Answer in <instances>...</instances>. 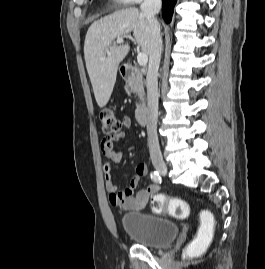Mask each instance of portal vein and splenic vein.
<instances>
[{"label": "portal vein and splenic vein", "mask_w": 265, "mask_h": 269, "mask_svg": "<svg viewBox=\"0 0 265 269\" xmlns=\"http://www.w3.org/2000/svg\"><path fill=\"white\" fill-rule=\"evenodd\" d=\"M116 42L118 44L124 43L123 38H117ZM137 61L140 66H145L148 62V55L146 53H138L137 55Z\"/></svg>", "instance_id": "18ae733b"}]
</instances>
